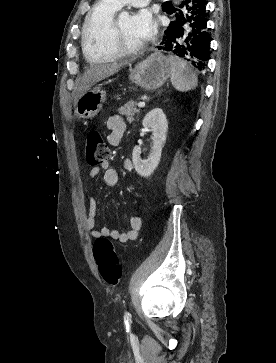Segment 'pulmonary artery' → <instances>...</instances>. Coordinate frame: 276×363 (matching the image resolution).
Here are the masks:
<instances>
[{
	"instance_id": "1",
	"label": "pulmonary artery",
	"mask_w": 276,
	"mask_h": 363,
	"mask_svg": "<svg viewBox=\"0 0 276 363\" xmlns=\"http://www.w3.org/2000/svg\"><path fill=\"white\" fill-rule=\"evenodd\" d=\"M112 1L118 4L119 6L128 4L134 7H142L146 6L151 0H112Z\"/></svg>"
}]
</instances>
